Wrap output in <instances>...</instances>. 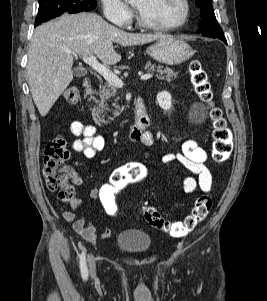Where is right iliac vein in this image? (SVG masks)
Listing matches in <instances>:
<instances>
[{
  "label": "right iliac vein",
  "instance_id": "right-iliac-vein-1",
  "mask_svg": "<svg viewBox=\"0 0 267 301\" xmlns=\"http://www.w3.org/2000/svg\"><path fill=\"white\" fill-rule=\"evenodd\" d=\"M88 266H89V271L90 274L93 276L95 275L96 272V264H95V259L94 256L92 254L88 255Z\"/></svg>",
  "mask_w": 267,
  "mask_h": 301
}]
</instances>
